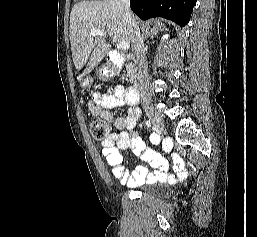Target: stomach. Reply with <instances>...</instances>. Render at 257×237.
Returning a JSON list of instances; mask_svg holds the SVG:
<instances>
[{"label": "stomach", "instance_id": "obj_1", "mask_svg": "<svg viewBox=\"0 0 257 237\" xmlns=\"http://www.w3.org/2000/svg\"><path fill=\"white\" fill-rule=\"evenodd\" d=\"M91 82H92V79L87 77L86 79H83V81H81L80 85L83 88H88Z\"/></svg>", "mask_w": 257, "mask_h": 237}]
</instances>
